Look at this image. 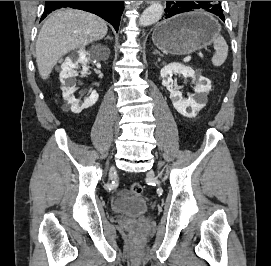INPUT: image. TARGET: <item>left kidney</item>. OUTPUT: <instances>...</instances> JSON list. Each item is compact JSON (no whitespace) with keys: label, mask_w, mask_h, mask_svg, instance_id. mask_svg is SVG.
Wrapping results in <instances>:
<instances>
[{"label":"left kidney","mask_w":271,"mask_h":266,"mask_svg":"<svg viewBox=\"0 0 271 266\" xmlns=\"http://www.w3.org/2000/svg\"><path fill=\"white\" fill-rule=\"evenodd\" d=\"M173 74H182L184 77L195 79V71L187 66L178 63H171L161 69L162 85L170 92V99L174 108L183 116L193 118L206 105L205 102H200V98L210 91L211 84L204 78H199V82L194 87V95L188 99H184L182 93L176 90L173 86Z\"/></svg>","instance_id":"1"}]
</instances>
